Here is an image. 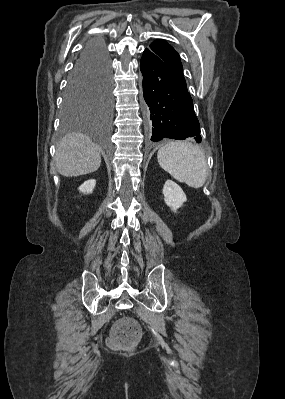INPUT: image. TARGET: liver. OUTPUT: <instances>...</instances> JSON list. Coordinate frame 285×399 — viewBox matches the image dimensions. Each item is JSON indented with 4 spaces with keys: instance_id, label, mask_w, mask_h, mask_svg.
Wrapping results in <instances>:
<instances>
[{
    "instance_id": "1",
    "label": "liver",
    "mask_w": 285,
    "mask_h": 399,
    "mask_svg": "<svg viewBox=\"0 0 285 399\" xmlns=\"http://www.w3.org/2000/svg\"><path fill=\"white\" fill-rule=\"evenodd\" d=\"M55 163L58 172L65 177L86 175L99 169L101 148L87 135L68 134L56 148Z\"/></svg>"
}]
</instances>
